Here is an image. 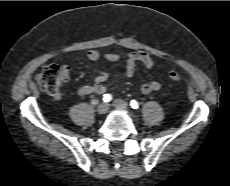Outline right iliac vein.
<instances>
[{"mask_svg": "<svg viewBox=\"0 0 230 186\" xmlns=\"http://www.w3.org/2000/svg\"><path fill=\"white\" fill-rule=\"evenodd\" d=\"M108 109H109L108 104L105 102H102L97 107V113L100 115H103V114L107 113Z\"/></svg>", "mask_w": 230, "mask_h": 186, "instance_id": "obj_1", "label": "right iliac vein"}]
</instances>
